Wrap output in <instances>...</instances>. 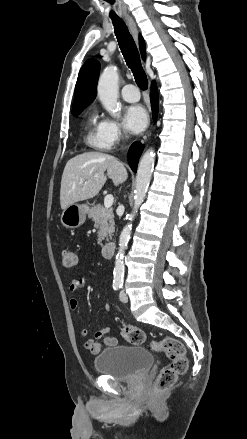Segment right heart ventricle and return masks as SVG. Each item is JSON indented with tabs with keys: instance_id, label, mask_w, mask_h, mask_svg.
Here are the masks:
<instances>
[{
	"instance_id": "e07e8e85",
	"label": "right heart ventricle",
	"mask_w": 247,
	"mask_h": 439,
	"mask_svg": "<svg viewBox=\"0 0 247 439\" xmlns=\"http://www.w3.org/2000/svg\"><path fill=\"white\" fill-rule=\"evenodd\" d=\"M84 141L96 150H107L110 147L103 134V121L99 120L96 113H91L86 119Z\"/></svg>"
}]
</instances>
